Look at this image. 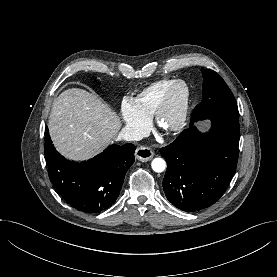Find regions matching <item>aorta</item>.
<instances>
[{"label": "aorta", "mask_w": 277, "mask_h": 277, "mask_svg": "<svg viewBox=\"0 0 277 277\" xmlns=\"http://www.w3.org/2000/svg\"><path fill=\"white\" fill-rule=\"evenodd\" d=\"M166 168V163L165 161L162 159V158H155L153 159L152 161V169L155 171V172H163Z\"/></svg>", "instance_id": "obj_1"}]
</instances>
